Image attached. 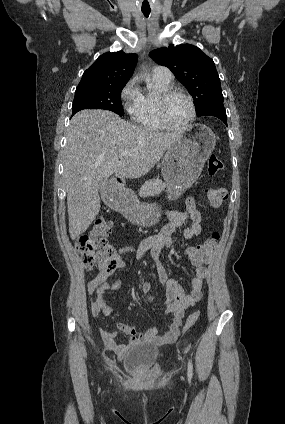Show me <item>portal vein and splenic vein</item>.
Returning a JSON list of instances; mask_svg holds the SVG:
<instances>
[{
  "label": "portal vein and splenic vein",
  "instance_id": "1",
  "mask_svg": "<svg viewBox=\"0 0 285 424\" xmlns=\"http://www.w3.org/2000/svg\"><path fill=\"white\" fill-rule=\"evenodd\" d=\"M128 154L127 151L122 152V156H126Z\"/></svg>",
  "mask_w": 285,
  "mask_h": 424
}]
</instances>
